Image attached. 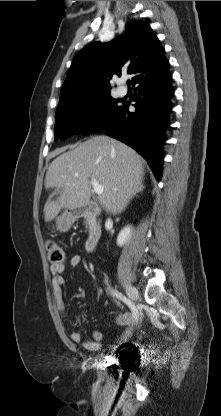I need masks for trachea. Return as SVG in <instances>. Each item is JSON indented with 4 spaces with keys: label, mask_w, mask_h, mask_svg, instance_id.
<instances>
[{
    "label": "trachea",
    "mask_w": 221,
    "mask_h": 416,
    "mask_svg": "<svg viewBox=\"0 0 221 416\" xmlns=\"http://www.w3.org/2000/svg\"><path fill=\"white\" fill-rule=\"evenodd\" d=\"M130 83H131V82H130V80H128V81H127V85H128V86H130Z\"/></svg>",
    "instance_id": "trachea-1"
}]
</instances>
